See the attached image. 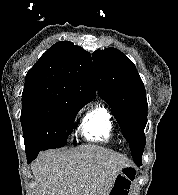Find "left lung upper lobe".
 Instances as JSON below:
<instances>
[{"mask_svg": "<svg viewBox=\"0 0 178 195\" xmlns=\"http://www.w3.org/2000/svg\"><path fill=\"white\" fill-rule=\"evenodd\" d=\"M93 64L98 93L113 110L130 144L132 158L141 166L148 104L138 71L132 61L115 48L95 51Z\"/></svg>", "mask_w": 178, "mask_h": 195, "instance_id": "obj_1", "label": "left lung upper lobe"}]
</instances>
